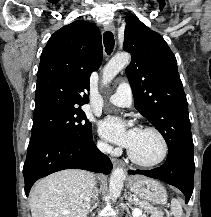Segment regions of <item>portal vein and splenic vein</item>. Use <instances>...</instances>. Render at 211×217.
<instances>
[{
  "instance_id": "18ae733b",
  "label": "portal vein and splenic vein",
  "mask_w": 211,
  "mask_h": 217,
  "mask_svg": "<svg viewBox=\"0 0 211 217\" xmlns=\"http://www.w3.org/2000/svg\"><path fill=\"white\" fill-rule=\"evenodd\" d=\"M135 201L138 202L139 200H138V199H135Z\"/></svg>"
}]
</instances>
